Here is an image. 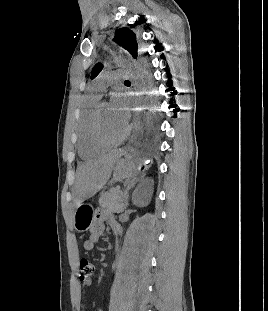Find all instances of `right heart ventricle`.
<instances>
[{
  "label": "right heart ventricle",
  "mask_w": 268,
  "mask_h": 311,
  "mask_svg": "<svg viewBox=\"0 0 268 311\" xmlns=\"http://www.w3.org/2000/svg\"><path fill=\"white\" fill-rule=\"evenodd\" d=\"M99 99L100 97L96 95L85 97L78 116L77 148L79 156L83 159L96 157L105 150L104 147L95 143L91 134V120Z\"/></svg>",
  "instance_id": "e07e8e85"
}]
</instances>
